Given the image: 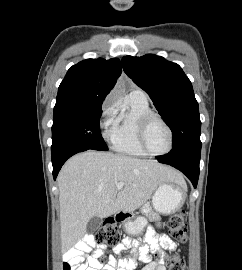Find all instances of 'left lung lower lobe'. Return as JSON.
<instances>
[{
    "instance_id": "obj_1",
    "label": "left lung lower lobe",
    "mask_w": 242,
    "mask_h": 270,
    "mask_svg": "<svg viewBox=\"0 0 242 270\" xmlns=\"http://www.w3.org/2000/svg\"><path fill=\"white\" fill-rule=\"evenodd\" d=\"M200 152L201 149L175 157L158 156L156 159L160 163L169 164L183 172L191 180L193 186L196 187L199 177Z\"/></svg>"
}]
</instances>
